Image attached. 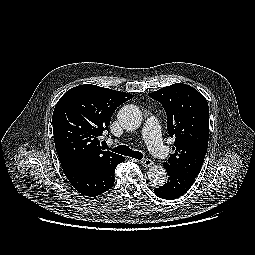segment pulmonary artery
<instances>
[{"mask_svg": "<svg viewBox=\"0 0 255 255\" xmlns=\"http://www.w3.org/2000/svg\"><path fill=\"white\" fill-rule=\"evenodd\" d=\"M141 134L153 154L160 157L167 153V149L161 141L160 125L157 118L149 117L144 123Z\"/></svg>", "mask_w": 255, "mask_h": 255, "instance_id": "obj_1", "label": "pulmonary artery"}]
</instances>
